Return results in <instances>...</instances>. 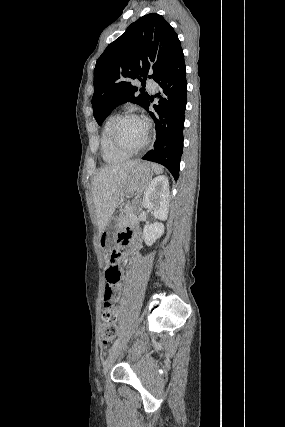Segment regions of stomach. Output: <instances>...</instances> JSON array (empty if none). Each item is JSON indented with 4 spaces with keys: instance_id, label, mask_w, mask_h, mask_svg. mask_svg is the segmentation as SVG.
I'll use <instances>...</instances> for the list:
<instances>
[{
    "instance_id": "1",
    "label": "stomach",
    "mask_w": 285,
    "mask_h": 427,
    "mask_svg": "<svg viewBox=\"0 0 285 427\" xmlns=\"http://www.w3.org/2000/svg\"><path fill=\"white\" fill-rule=\"evenodd\" d=\"M152 170L150 164L146 162H138L135 164L127 178L126 185L122 195H133L141 193L152 178ZM119 225L116 219H110L104 231L99 236V244L101 248L108 251L113 244V238L117 232Z\"/></svg>"
}]
</instances>
